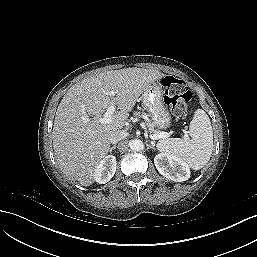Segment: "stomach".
I'll return each instance as SVG.
<instances>
[{
  "instance_id": "stomach-1",
  "label": "stomach",
  "mask_w": 257,
  "mask_h": 257,
  "mask_svg": "<svg viewBox=\"0 0 257 257\" xmlns=\"http://www.w3.org/2000/svg\"><path fill=\"white\" fill-rule=\"evenodd\" d=\"M140 99L154 127L167 129L171 124V116L163 101L162 86L158 82L151 83L142 92Z\"/></svg>"
}]
</instances>
